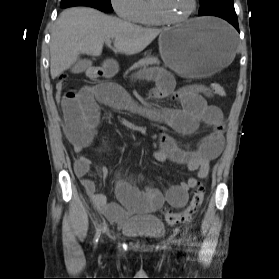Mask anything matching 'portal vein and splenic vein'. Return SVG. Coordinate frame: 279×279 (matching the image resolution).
<instances>
[{
	"label": "portal vein and splenic vein",
	"mask_w": 279,
	"mask_h": 279,
	"mask_svg": "<svg viewBox=\"0 0 279 279\" xmlns=\"http://www.w3.org/2000/svg\"><path fill=\"white\" fill-rule=\"evenodd\" d=\"M106 44H107L108 47H110L111 46V40L106 41Z\"/></svg>",
	"instance_id": "18ae733b"
}]
</instances>
